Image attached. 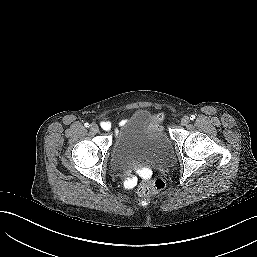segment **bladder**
<instances>
[{"label": "bladder", "mask_w": 257, "mask_h": 257, "mask_svg": "<svg viewBox=\"0 0 257 257\" xmlns=\"http://www.w3.org/2000/svg\"><path fill=\"white\" fill-rule=\"evenodd\" d=\"M125 139L143 151L147 160L155 165L165 163L172 155L169 137L148 110L137 111L126 126Z\"/></svg>", "instance_id": "bladder-1"}]
</instances>
